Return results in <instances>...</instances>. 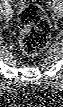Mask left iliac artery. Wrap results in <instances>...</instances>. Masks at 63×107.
Returning <instances> with one entry per match:
<instances>
[{
    "label": "left iliac artery",
    "mask_w": 63,
    "mask_h": 107,
    "mask_svg": "<svg viewBox=\"0 0 63 107\" xmlns=\"http://www.w3.org/2000/svg\"><path fill=\"white\" fill-rule=\"evenodd\" d=\"M60 1V0H59ZM54 3H58V0H54Z\"/></svg>",
    "instance_id": "1"
}]
</instances>
